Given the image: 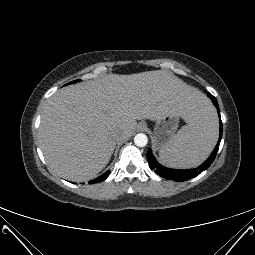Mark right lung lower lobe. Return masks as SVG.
<instances>
[{
	"mask_svg": "<svg viewBox=\"0 0 255 255\" xmlns=\"http://www.w3.org/2000/svg\"><path fill=\"white\" fill-rule=\"evenodd\" d=\"M109 173H110V171L105 172L104 174H102L98 178L89 181V184H94V183H98V182L103 181L104 179H106L108 177Z\"/></svg>",
	"mask_w": 255,
	"mask_h": 255,
	"instance_id": "right-lung-lower-lobe-1",
	"label": "right lung lower lobe"
}]
</instances>
